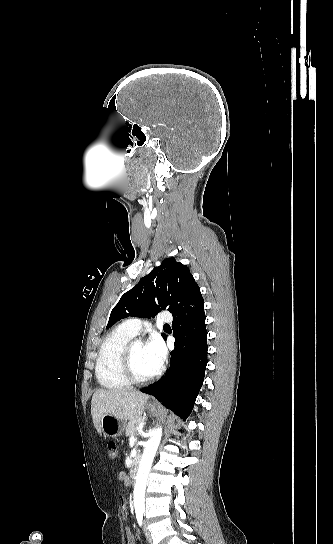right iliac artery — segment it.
<instances>
[{
	"label": "right iliac artery",
	"instance_id": "82829eb1",
	"mask_svg": "<svg viewBox=\"0 0 333 544\" xmlns=\"http://www.w3.org/2000/svg\"><path fill=\"white\" fill-rule=\"evenodd\" d=\"M136 518H137L138 524L140 526H142V524H143V513L142 512H137L136 513Z\"/></svg>",
	"mask_w": 333,
	"mask_h": 544
}]
</instances>
